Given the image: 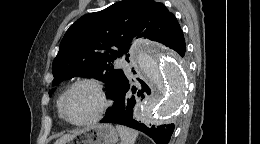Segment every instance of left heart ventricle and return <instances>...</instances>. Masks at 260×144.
<instances>
[{
    "instance_id": "left-heart-ventricle-1",
    "label": "left heart ventricle",
    "mask_w": 260,
    "mask_h": 144,
    "mask_svg": "<svg viewBox=\"0 0 260 144\" xmlns=\"http://www.w3.org/2000/svg\"><path fill=\"white\" fill-rule=\"evenodd\" d=\"M100 106L95 90L87 85L78 86L69 95L65 111L68 118L74 122H81L93 117Z\"/></svg>"
}]
</instances>
